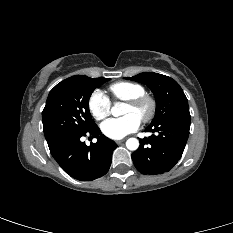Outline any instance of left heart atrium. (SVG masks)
<instances>
[{
  "instance_id": "left-heart-atrium-1",
  "label": "left heart atrium",
  "mask_w": 233,
  "mask_h": 233,
  "mask_svg": "<svg viewBox=\"0 0 233 233\" xmlns=\"http://www.w3.org/2000/svg\"><path fill=\"white\" fill-rule=\"evenodd\" d=\"M140 126V119L133 114L120 118H111L101 124L102 133L111 139H122L135 132Z\"/></svg>"
}]
</instances>
